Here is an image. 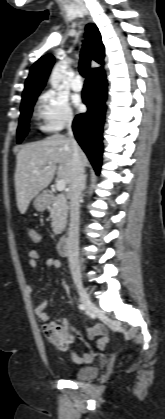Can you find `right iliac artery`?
<instances>
[{
    "label": "right iliac artery",
    "mask_w": 165,
    "mask_h": 419,
    "mask_svg": "<svg viewBox=\"0 0 165 419\" xmlns=\"http://www.w3.org/2000/svg\"><path fill=\"white\" fill-rule=\"evenodd\" d=\"M79 309H80V310H84L85 308H84V306H83L82 304H80V305H79Z\"/></svg>",
    "instance_id": "1"
}]
</instances>
